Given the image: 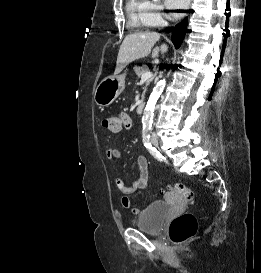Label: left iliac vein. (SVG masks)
Segmentation results:
<instances>
[{
  "mask_svg": "<svg viewBox=\"0 0 261 273\" xmlns=\"http://www.w3.org/2000/svg\"><path fill=\"white\" fill-rule=\"evenodd\" d=\"M153 143H154L155 145H157L156 137H153Z\"/></svg>",
  "mask_w": 261,
  "mask_h": 273,
  "instance_id": "left-iliac-vein-1",
  "label": "left iliac vein"
}]
</instances>
